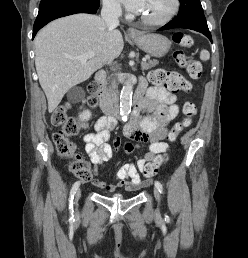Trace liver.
<instances>
[{
    "instance_id": "liver-1",
    "label": "liver",
    "mask_w": 248,
    "mask_h": 258,
    "mask_svg": "<svg viewBox=\"0 0 248 258\" xmlns=\"http://www.w3.org/2000/svg\"><path fill=\"white\" fill-rule=\"evenodd\" d=\"M35 66L52 113L69 89L91 77L103 63L121 54L124 42L119 30L109 29L96 15L75 14L46 25L35 37ZM92 53L82 63L69 59Z\"/></svg>"
}]
</instances>
